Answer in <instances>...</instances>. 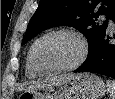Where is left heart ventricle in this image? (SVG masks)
Returning <instances> with one entry per match:
<instances>
[{
  "label": "left heart ventricle",
  "mask_w": 115,
  "mask_h": 99,
  "mask_svg": "<svg viewBox=\"0 0 115 99\" xmlns=\"http://www.w3.org/2000/svg\"><path fill=\"white\" fill-rule=\"evenodd\" d=\"M78 40L68 34L46 38L36 48V59L44 70H54L73 63L80 54Z\"/></svg>",
  "instance_id": "left-heart-ventricle-1"
}]
</instances>
